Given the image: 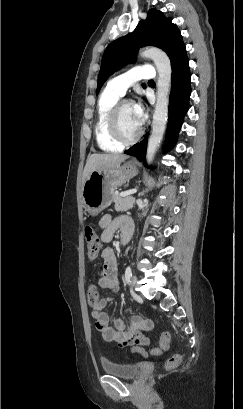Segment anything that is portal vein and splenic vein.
Masks as SVG:
<instances>
[{"label":"portal vein and splenic vein","mask_w":243,"mask_h":409,"mask_svg":"<svg viewBox=\"0 0 243 409\" xmlns=\"http://www.w3.org/2000/svg\"><path fill=\"white\" fill-rule=\"evenodd\" d=\"M136 192H137V190L133 189V190L121 193V196H129V195L134 194Z\"/></svg>","instance_id":"1"}]
</instances>
